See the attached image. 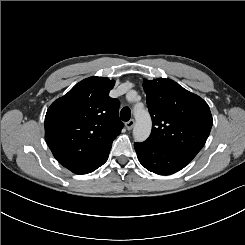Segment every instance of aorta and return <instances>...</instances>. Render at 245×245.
Segmentation results:
<instances>
[{
  "mask_svg": "<svg viewBox=\"0 0 245 245\" xmlns=\"http://www.w3.org/2000/svg\"><path fill=\"white\" fill-rule=\"evenodd\" d=\"M134 117L136 120V124L133 128L134 139L137 142H143L149 137L151 133V117L148 111L145 109H135Z\"/></svg>",
  "mask_w": 245,
  "mask_h": 245,
  "instance_id": "obj_1",
  "label": "aorta"
}]
</instances>
